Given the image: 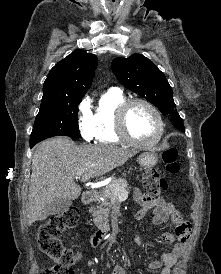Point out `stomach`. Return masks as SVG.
Instances as JSON below:
<instances>
[{"mask_svg": "<svg viewBox=\"0 0 221 274\" xmlns=\"http://www.w3.org/2000/svg\"><path fill=\"white\" fill-rule=\"evenodd\" d=\"M158 161V156L153 151H146L139 155L138 162L144 168L153 167Z\"/></svg>", "mask_w": 221, "mask_h": 274, "instance_id": "obj_1", "label": "stomach"}]
</instances>
